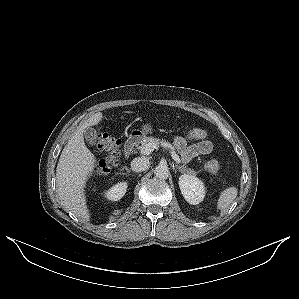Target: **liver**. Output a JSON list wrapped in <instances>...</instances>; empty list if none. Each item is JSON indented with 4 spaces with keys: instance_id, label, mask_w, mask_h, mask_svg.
<instances>
[{
    "instance_id": "6515ba94",
    "label": "liver",
    "mask_w": 299,
    "mask_h": 299,
    "mask_svg": "<svg viewBox=\"0 0 299 299\" xmlns=\"http://www.w3.org/2000/svg\"><path fill=\"white\" fill-rule=\"evenodd\" d=\"M102 118L101 112L95 113L77 128L64 147L56 168L58 194L63 208L84 221L90 219L84 188L94 171L96 158L86 147L83 134L87 127L97 125Z\"/></svg>"
}]
</instances>
